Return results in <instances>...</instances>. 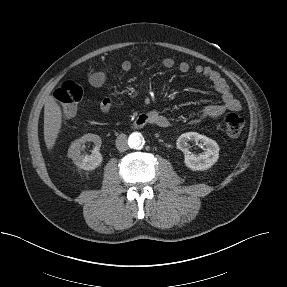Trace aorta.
Instances as JSON below:
<instances>
[{"label":"aorta","mask_w":287,"mask_h":287,"mask_svg":"<svg viewBox=\"0 0 287 287\" xmlns=\"http://www.w3.org/2000/svg\"><path fill=\"white\" fill-rule=\"evenodd\" d=\"M128 145L133 149H141L144 145V138L141 133H132L128 138Z\"/></svg>","instance_id":"obj_1"}]
</instances>
